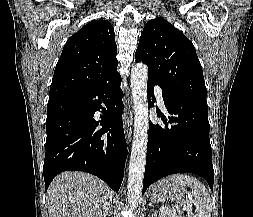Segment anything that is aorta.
I'll return each instance as SVG.
<instances>
[{
	"label": "aorta",
	"mask_w": 253,
	"mask_h": 217,
	"mask_svg": "<svg viewBox=\"0 0 253 217\" xmlns=\"http://www.w3.org/2000/svg\"><path fill=\"white\" fill-rule=\"evenodd\" d=\"M148 68L137 63L131 70V88L134 104V133L129 162L128 202L135 207L142 196L148 138Z\"/></svg>",
	"instance_id": "aorta-1"
}]
</instances>
